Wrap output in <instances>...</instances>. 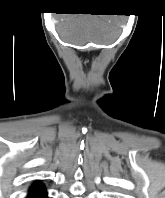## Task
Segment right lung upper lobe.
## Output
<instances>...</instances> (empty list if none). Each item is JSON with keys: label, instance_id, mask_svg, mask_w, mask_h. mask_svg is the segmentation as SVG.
Segmentation results:
<instances>
[{"label": "right lung upper lobe", "instance_id": "1", "mask_svg": "<svg viewBox=\"0 0 165 198\" xmlns=\"http://www.w3.org/2000/svg\"><path fill=\"white\" fill-rule=\"evenodd\" d=\"M40 187H43V185H42L41 183H39V182H36V183H34V184L31 186V188L29 189V191L38 189V188H40Z\"/></svg>", "mask_w": 165, "mask_h": 198}]
</instances>
